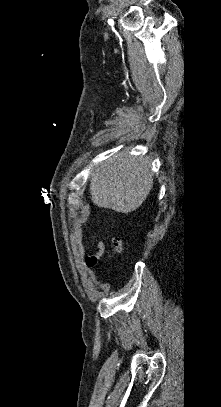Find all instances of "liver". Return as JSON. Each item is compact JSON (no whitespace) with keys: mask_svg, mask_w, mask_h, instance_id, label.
I'll return each instance as SVG.
<instances>
[{"mask_svg":"<svg viewBox=\"0 0 221 407\" xmlns=\"http://www.w3.org/2000/svg\"><path fill=\"white\" fill-rule=\"evenodd\" d=\"M153 187L148 158L116 154L100 163L90 176V198L100 208L118 213L136 210Z\"/></svg>","mask_w":221,"mask_h":407,"instance_id":"1","label":"liver"}]
</instances>
